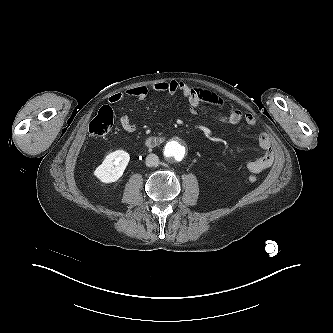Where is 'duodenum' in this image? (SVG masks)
I'll return each instance as SVG.
<instances>
[{
  "instance_id": "duodenum-1",
  "label": "duodenum",
  "mask_w": 333,
  "mask_h": 333,
  "mask_svg": "<svg viewBox=\"0 0 333 333\" xmlns=\"http://www.w3.org/2000/svg\"><path fill=\"white\" fill-rule=\"evenodd\" d=\"M161 141H162L161 137H159V136H151V137L147 138L146 145L148 147H155L158 144H160Z\"/></svg>"
}]
</instances>
